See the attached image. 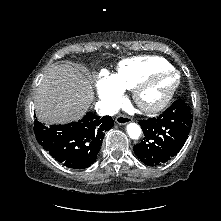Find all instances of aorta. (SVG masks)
Listing matches in <instances>:
<instances>
[{
	"label": "aorta",
	"instance_id": "762f6f07",
	"mask_svg": "<svg viewBox=\"0 0 221 221\" xmlns=\"http://www.w3.org/2000/svg\"><path fill=\"white\" fill-rule=\"evenodd\" d=\"M127 133L131 139L137 140L141 136V128L136 123H129L127 125Z\"/></svg>",
	"mask_w": 221,
	"mask_h": 221
}]
</instances>
